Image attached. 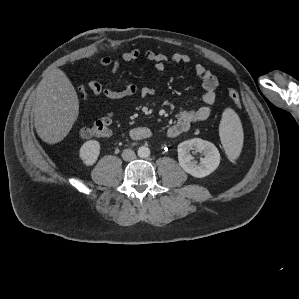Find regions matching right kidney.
I'll return each mask as SVG.
<instances>
[{
  "label": "right kidney",
  "mask_w": 299,
  "mask_h": 299,
  "mask_svg": "<svg viewBox=\"0 0 299 299\" xmlns=\"http://www.w3.org/2000/svg\"><path fill=\"white\" fill-rule=\"evenodd\" d=\"M100 153V143L96 140L85 142L80 150L79 157L86 166H92Z\"/></svg>",
  "instance_id": "right-kidney-1"
}]
</instances>
